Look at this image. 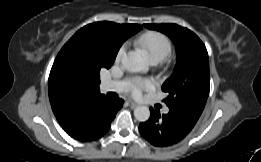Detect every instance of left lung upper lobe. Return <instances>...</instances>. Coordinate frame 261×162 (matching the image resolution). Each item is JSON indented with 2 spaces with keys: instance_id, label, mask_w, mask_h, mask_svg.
Masks as SVG:
<instances>
[{
  "instance_id": "5c2ea615",
  "label": "left lung upper lobe",
  "mask_w": 261,
  "mask_h": 162,
  "mask_svg": "<svg viewBox=\"0 0 261 162\" xmlns=\"http://www.w3.org/2000/svg\"><path fill=\"white\" fill-rule=\"evenodd\" d=\"M169 36L177 50V64L162 90L169 108L183 106L201 115L210 89L209 60L205 45L187 28L176 24H144Z\"/></svg>"
}]
</instances>
